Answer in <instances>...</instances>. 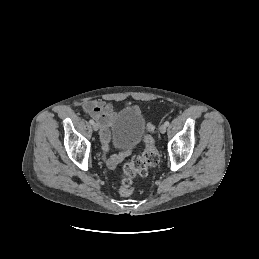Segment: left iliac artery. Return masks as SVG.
Here are the masks:
<instances>
[{"label": "left iliac artery", "instance_id": "1", "mask_svg": "<svg viewBox=\"0 0 259 259\" xmlns=\"http://www.w3.org/2000/svg\"><path fill=\"white\" fill-rule=\"evenodd\" d=\"M166 126H169V121H166L165 123H164Z\"/></svg>", "mask_w": 259, "mask_h": 259}]
</instances>
